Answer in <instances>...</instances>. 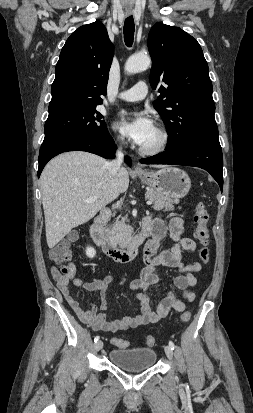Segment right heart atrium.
Instances as JSON below:
<instances>
[{"label":"right heart atrium","instance_id":"obj_1","mask_svg":"<svg viewBox=\"0 0 253 413\" xmlns=\"http://www.w3.org/2000/svg\"><path fill=\"white\" fill-rule=\"evenodd\" d=\"M115 141H116V143L119 144V145H122V144H124V142H125L124 138H123L122 136H120V135H118V136L115 138Z\"/></svg>","mask_w":253,"mask_h":413}]
</instances>
